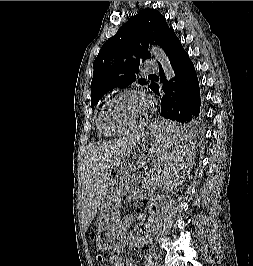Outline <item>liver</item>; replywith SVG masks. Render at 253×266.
Instances as JSON below:
<instances>
[{
	"label": "liver",
	"instance_id": "obj_1",
	"mask_svg": "<svg viewBox=\"0 0 253 266\" xmlns=\"http://www.w3.org/2000/svg\"><path fill=\"white\" fill-rule=\"evenodd\" d=\"M137 139L131 136L92 147L84 163L83 195L86 205L85 227L97 213V208L106 195L107 177L113 163L122 156Z\"/></svg>",
	"mask_w": 253,
	"mask_h": 266
}]
</instances>
